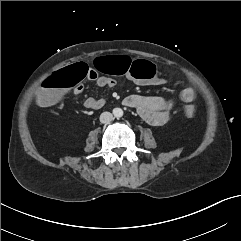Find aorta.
<instances>
[{"label":"aorta","instance_id":"aorta-1","mask_svg":"<svg viewBox=\"0 0 241 241\" xmlns=\"http://www.w3.org/2000/svg\"><path fill=\"white\" fill-rule=\"evenodd\" d=\"M113 114L116 118H120L123 116V110L121 108H114Z\"/></svg>","mask_w":241,"mask_h":241}]
</instances>
